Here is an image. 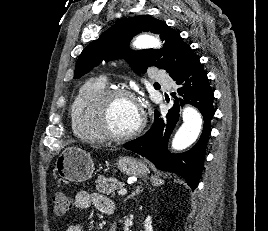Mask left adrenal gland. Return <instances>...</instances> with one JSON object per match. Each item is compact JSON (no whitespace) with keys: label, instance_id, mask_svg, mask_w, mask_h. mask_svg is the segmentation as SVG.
<instances>
[{"label":"left adrenal gland","instance_id":"a2214340","mask_svg":"<svg viewBox=\"0 0 268 231\" xmlns=\"http://www.w3.org/2000/svg\"><path fill=\"white\" fill-rule=\"evenodd\" d=\"M141 184L139 186L136 187L135 191H133L129 196H127V198L124 199V203L130 199L133 198L134 196L138 195L140 192H142L141 190Z\"/></svg>","mask_w":268,"mask_h":231}]
</instances>
